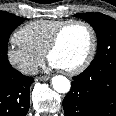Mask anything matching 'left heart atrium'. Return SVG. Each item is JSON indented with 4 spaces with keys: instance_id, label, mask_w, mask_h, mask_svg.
I'll list each match as a JSON object with an SVG mask.
<instances>
[{
    "instance_id": "left-heart-atrium-1",
    "label": "left heart atrium",
    "mask_w": 116,
    "mask_h": 116,
    "mask_svg": "<svg viewBox=\"0 0 116 116\" xmlns=\"http://www.w3.org/2000/svg\"><path fill=\"white\" fill-rule=\"evenodd\" d=\"M49 67L51 69H58V70L61 69V67L58 64H56L55 62H53L51 60H49Z\"/></svg>"
}]
</instances>
